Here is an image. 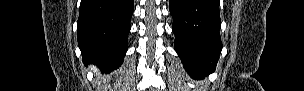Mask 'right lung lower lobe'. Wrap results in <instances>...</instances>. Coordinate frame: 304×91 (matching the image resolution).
<instances>
[{
    "mask_svg": "<svg viewBox=\"0 0 304 91\" xmlns=\"http://www.w3.org/2000/svg\"><path fill=\"white\" fill-rule=\"evenodd\" d=\"M133 11L134 0H81L77 38L84 63L103 71L121 66Z\"/></svg>",
    "mask_w": 304,
    "mask_h": 91,
    "instance_id": "1",
    "label": "right lung lower lobe"
}]
</instances>
